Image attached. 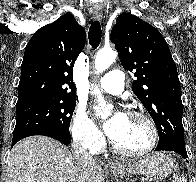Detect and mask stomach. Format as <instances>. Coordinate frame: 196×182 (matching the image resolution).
Returning <instances> with one entry per match:
<instances>
[{
    "instance_id": "stomach-1",
    "label": "stomach",
    "mask_w": 196,
    "mask_h": 182,
    "mask_svg": "<svg viewBox=\"0 0 196 182\" xmlns=\"http://www.w3.org/2000/svg\"><path fill=\"white\" fill-rule=\"evenodd\" d=\"M173 168L174 163L170 156L156 152L137 162L113 167L111 172L121 177L143 174L150 179L161 180L166 178Z\"/></svg>"
}]
</instances>
